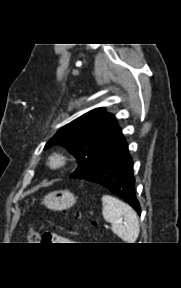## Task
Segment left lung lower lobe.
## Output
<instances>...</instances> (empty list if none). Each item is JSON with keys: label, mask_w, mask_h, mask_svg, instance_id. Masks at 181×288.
<instances>
[{"label": "left lung lower lobe", "mask_w": 181, "mask_h": 288, "mask_svg": "<svg viewBox=\"0 0 181 288\" xmlns=\"http://www.w3.org/2000/svg\"><path fill=\"white\" fill-rule=\"evenodd\" d=\"M81 179L98 183L120 196L140 215L141 209L135 196L133 160L123 137L120 144L102 160L88 175Z\"/></svg>", "instance_id": "obj_1"}]
</instances>
